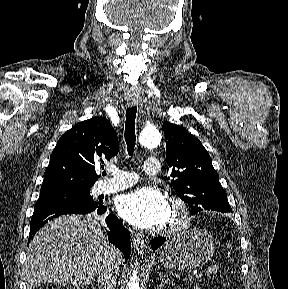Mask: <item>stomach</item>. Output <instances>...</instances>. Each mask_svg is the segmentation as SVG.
<instances>
[{
  "label": "stomach",
  "instance_id": "obj_1",
  "mask_svg": "<svg viewBox=\"0 0 288 289\" xmlns=\"http://www.w3.org/2000/svg\"><path fill=\"white\" fill-rule=\"evenodd\" d=\"M214 251L212 235L205 229L193 227L174 235L159 259L164 268L189 270L205 265Z\"/></svg>",
  "mask_w": 288,
  "mask_h": 289
}]
</instances>
